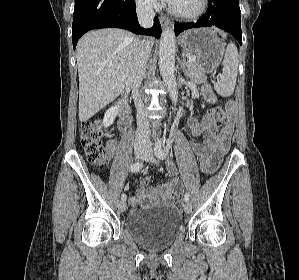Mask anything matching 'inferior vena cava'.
Listing matches in <instances>:
<instances>
[{
	"label": "inferior vena cava",
	"instance_id": "602c4592",
	"mask_svg": "<svg viewBox=\"0 0 299 280\" xmlns=\"http://www.w3.org/2000/svg\"><path fill=\"white\" fill-rule=\"evenodd\" d=\"M137 16L139 23L144 28H149L153 25L154 11L152 0H138ZM151 52V46L148 41H137L134 47V55L131 62L130 73L128 76V84L132 89V96L137 109V131L135 136V144L149 143L150 124L145 117L143 111V102L141 100L139 88L146 72V64Z\"/></svg>",
	"mask_w": 299,
	"mask_h": 280
}]
</instances>
